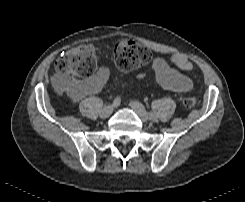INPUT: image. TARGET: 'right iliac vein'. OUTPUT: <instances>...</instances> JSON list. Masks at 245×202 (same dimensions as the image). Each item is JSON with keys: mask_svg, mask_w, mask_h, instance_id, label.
I'll return each mask as SVG.
<instances>
[{"mask_svg": "<svg viewBox=\"0 0 245 202\" xmlns=\"http://www.w3.org/2000/svg\"><path fill=\"white\" fill-rule=\"evenodd\" d=\"M114 108H115V107H114L113 104L104 106V107L102 108V110L100 111V117H101L102 119L108 118V117L112 114Z\"/></svg>", "mask_w": 245, "mask_h": 202, "instance_id": "1", "label": "right iliac vein"}]
</instances>
